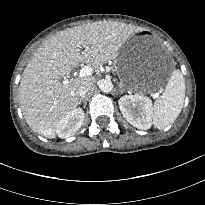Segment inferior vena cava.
<instances>
[{
    "label": "inferior vena cava",
    "instance_id": "inferior-vena-cava-1",
    "mask_svg": "<svg viewBox=\"0 0 205 205\" xmlns=\"http://www.w3.org/2000/svg\"><path fill=\"white\" fill-rule=\"evenodd\" d=\"M94 86V80L88 79L82 82L81 86L79 87V95L84 97Z\"/></svg>",
    "mask_w": 205,
    "mask_h": 205
}]
</instances>
